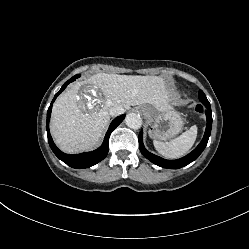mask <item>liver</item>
<instances>
[{
	"instance_id": "1",
	"label": "liver",
	"mask_w": 249,
	"mask_h": 249,
	"mask_svg": "<svg viewBox=\"0 0 249 249\" xmlns=\"http://www.w3.org/2000/svg\"><path fill=\"white\" fill-rule=\"evenodd\" d=\"M92 87L103 96L83 101L80 91ZM91 89V90H92ZM171 93L162 78L156 76L99 73L75 83L61 94L52 109L50 131L57 146L66 153L94 148L110 121L109 109L120 105L150 104L158 111L171 109Z\"/></svg>"
}]
</instances>
